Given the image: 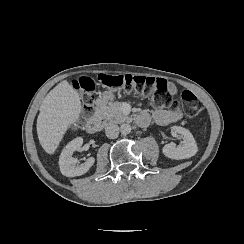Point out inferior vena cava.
Returning <instances> with one entry per match:
<instances>
[{
	"instance_id": "602c4592",
	"label": "inferior vena cava",
	"mask_w": 244,
	"mask_h": 244,
	"mask_svg": "<svg viewBox=\"0 0 244 244\" xmlns=\"http://www.w3.org/2000/svg\"><path fill=\"white\" fill-rule=\"evenodd\" d=\"M106 136L110 139H114L119 134V127L118 125H110L105 130Z\"/></svg>"
}]
</instances>
